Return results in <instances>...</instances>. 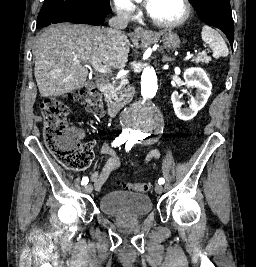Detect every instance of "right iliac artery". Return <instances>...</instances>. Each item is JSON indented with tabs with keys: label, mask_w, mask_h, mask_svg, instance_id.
Instances as JSON below:
<instances>
[{
	"label": "right iliac artery",
	"mask_w": 256,
	"mask_h": 267,
	"mask_svg": "<svg viewBox=\"0 0 256 267\" xmlns=\"http://www.w3.org/2000/svg\"><path fill=\"white\" fill-rule=\"evenodd\" d=\"M126 140H127L126 137L120 135L119 137H117V138L113 141V143H112V147H113V146H114V147H116V146H120L121 144H123L124 142H126ZM88 182H89L88 177H83V178H82V182H81V184H82V185H86Z\"/></svg>",
	"instance_id": "obj_1"
}]
</instances>
